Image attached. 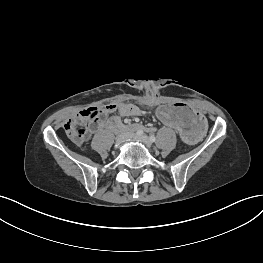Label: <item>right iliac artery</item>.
Wrapping results in <instances>:
<instances>
[{
	"mask_svg": "<svg viewBox=\"0 0 263 263\" xmlns=\"http://www.w3.org/2000/svg\"><path fill=\"white\" fill-rule=\"evenodd\" d=\"M136 134H137V135H142V134H143V131H142V130H136Z\"/></svg>",
	"mask_w": 263,
	"mask_h": 263,
	"instance_id": "obj_1",
	"label": "right iliac artery"
}]
</instances>
